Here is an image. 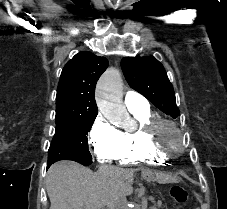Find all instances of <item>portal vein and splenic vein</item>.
Instances as JSON below:
<instances>
[{
	"instance_id": "18ae733b",
	"label": "portal vein and splenic vein",
	"mask_w": 227,
	"mask_h": 209,
	"mask_svg": "<svg viewBox=\"0 0 227 209\" xmlns=\"http://www.w3.org/2000/svg\"><path fill=\"white\" fill-rule=\"evenodd\" d=\"M150 199L153 201L155 198L152 196Z\"/></svg>"
}]
</instances>
